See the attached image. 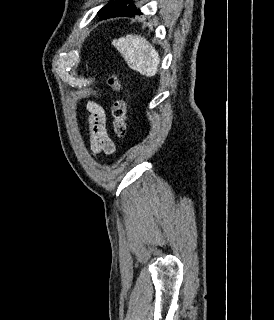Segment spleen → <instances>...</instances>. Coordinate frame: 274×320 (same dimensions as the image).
Instances as JSON below:
<instances>
[{
  "label": "spleen",
  "instance_id": "spleen-1",
  "mask_svg": "<svg viewBox=\"0 0 274 320\" xmlns=\"http://www.w3.org/2000/svg\"><path fill=\"white\" fill-rule=\"evenodd\" d=\"M113 46L117 48L131 70H136L147 78H152L157 74L160 56L142 36L119 38V40H114Z\"/></svg>",
  "mask_w": 274,
  "mask_h": 320
}]
</instances>
